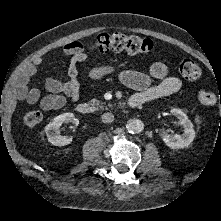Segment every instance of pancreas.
<instances>
[{
    "instance_id": "obj_1",
    "label": "pancreas",
    "mask_w": 221,
    "mask_h": 221,
    "mask_svg": "<svg viewBox=\"0 0 221 221\" xmlns=\"http://www.w3.org/2000/svg\"><path fill=\"white\" fill-rule=\"evenodd\" d=\"M91 105L93 106L94 110H102L104 108L103 102L97 99H92Z\"/></svg>"
}]
</instances>
